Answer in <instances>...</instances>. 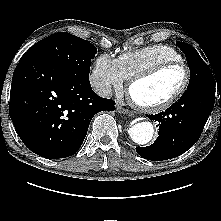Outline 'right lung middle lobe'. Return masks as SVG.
Listing matches in <instances>:
<instances>
[{
    "label": "right lung middle lobe",
    "mask_w": 221,
    "mask_h": 221,
    "mask_svg": "<svg viewBox=\"0 0 221 221\" xmlns=\"http://www.w3.org/2000/svg\"><path fill=\"white\" fill-rule=\"evenodd\" d=\"M96 53V47L90 42L69 33L59 32L37 42L24 55L40 57L70 73L88 78L91 60Z\"/></svg>",
    "instance_id": "right-lung-middle-lobe-1"
}]
</instances>
